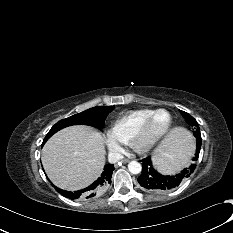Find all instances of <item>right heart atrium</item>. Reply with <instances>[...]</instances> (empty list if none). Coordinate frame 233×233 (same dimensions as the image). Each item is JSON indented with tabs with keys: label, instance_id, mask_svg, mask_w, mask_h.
<instances>
[{
	"label": "right heart atrium",
	"instance_id": "1",
	"mask_svg": "<svg viewBox=\"0 0 233 233\" xmlns=\"http://www.w3.org/2000/svg\"><path fill=\"white\" fill-rule=\"evenodd\" d=\"M105 142H106L108 149L112 153L119 154L122 151L121 146L116 141H114L112 138H107Z\"/></svg>",
	"mask_w": 233,
	"mask_h": 233
}]
</instances>
